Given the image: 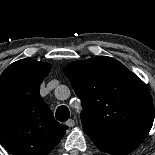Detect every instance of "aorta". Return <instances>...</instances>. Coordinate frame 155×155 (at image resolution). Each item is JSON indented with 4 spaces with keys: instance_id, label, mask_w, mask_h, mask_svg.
Listing matches in <instances>:
<instances>
[{
    "instance_id": "1",
    "label": "aorta",
    "mask_w": 155,
    "mask_h": 155,
    "mask_svg": "<svg viewBox=\"0 0 155 155\" xmlns=\"http://www.w3.org/2000/svg\"><path fill=\"white\" fill-rule=\"evenodd\" d=\"M55 91L56 92H63L66 94L68 91V88L66 86L62 85V86H59Z\"/></svg>"
}]
</instances>
